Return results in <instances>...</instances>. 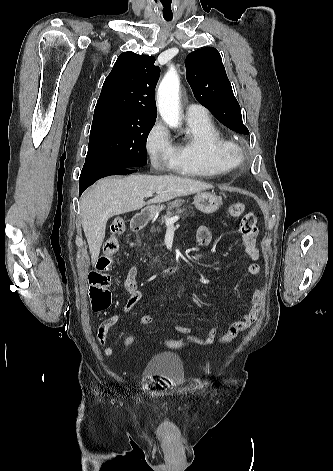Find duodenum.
<instances>
[{"label": "duodenum", "mask_w": 333, "mask_h": 471, "mask_svg": "<svg viewBox=\"0 0 333 471\" xmlns=\"http://www.w3.org/2000/svg\"><path fill=\"white\" fill-rule=\"evenodd\" d=\"M148 220H149V214H148V211L146 210L135 215L133 219L131 220V224H130L131 231L133 233L139 232L142 228L146 226V224L148 223ZM180 269H181V266L175 264V265H172L163 269V273L170 274V275L176 274L177 272L180 271Z\"/></svg>", "instance_id": "obj_1"}]
</instances>
